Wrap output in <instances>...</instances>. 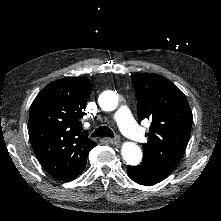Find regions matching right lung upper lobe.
<instances>
[{
    "label": "right lung upper lobe",
    "mask_w": 221,
    "mask_h": 221,
    "mask_svg": "<svg viewBox=\"0 0 221 221\" xmlns=\"http://www.w3.org/2000/svg\"><path fill=\"white\" fill-rule=\"evenodd\" d=\"M92 89L86 77L56 80L37 95L29 114L33 149L41 165L56 179L69 180L85 163L96 143L80 131Z\"/></svg>",
    "instance_id": "obj_1"
}]
</instances>
